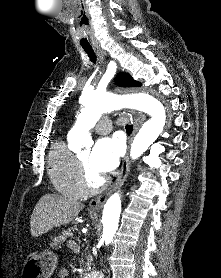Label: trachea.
<instances>
[{
    "label": "trachea",
    "instance_id": "3493384b",
    "mask_svg": "<svg viewBox=\"0 0 221 278\" xmlns=\"http://www.w3.org/2000/svg\"><path fill=\"white\" fill-rule=\"evenodd\" d=\"M83 49L86 52V54L88 55L90 61L93 62V63H96V56H95V53H94L93 49L92 48H83ZM125 128H126V132L128 134L132 133V131H133V126L132 125H126Z\"/></svg>",
    "mask_w": 221,
    "mask_h": 278
}]
</instances>
